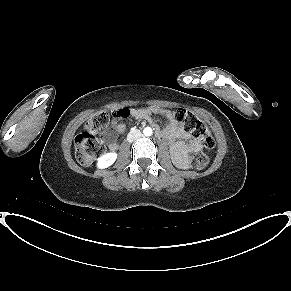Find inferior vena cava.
Segmentation results:
<instances>
[{
    "label": "inferior vena cava",
    "instance_id": "inferior-vena-cava-1",
    "mask_svg": "<svg viewBox=\"0 0 291 291\" xmlns=\"http://www.w3.org/2000/svg\"><path fill=\"white\" fill-rule=\"evenodd\" d=\"M142 135L141 131L138 130V129H133L131 130L128 135H127V140L129 142H132V141H135L137 140L138 138H140Z\"/></svg>",
    "mask_w": 291,
    "mask_h": 291
}]
</instances>
